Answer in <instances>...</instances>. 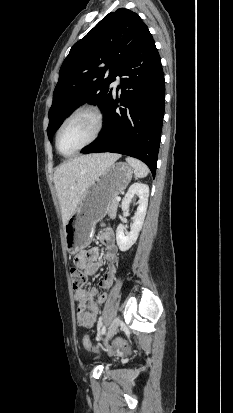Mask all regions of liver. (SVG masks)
I'll return each mask as SVG.
<instances>
[{
  "label": "liver",
  "mask_w": 233,
  "mask_h": 413,
  "mask_svg": "<svg viewBox=\"0 0 233 413\" xmlns=\"http://www.w3.org/2000/svg\"><path fill=\"white\" fill-rule=\"evenodd\" d=\"M116 154H90L60 164L54 172V184L60 203L63 226L75 212L83 194L97 176L114 164Z\"/></svg>",
  "instance_id": "liver-1"
}]
</instances>
